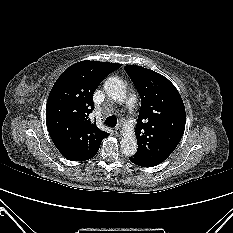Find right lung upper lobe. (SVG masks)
I'll return each instance as SVG.
<instances>
[{
	"mask_svg": "<svg viewBox=\"0 0 233 233\" xmlns=\"http://www.w3.org/2000/svg\"><path fill=\"white\" fill-rule=\"evenodd\" d=\"M121 64L81 61L67 68L55 82L46 105V124L60 153L71 161H85L98 152L109 134L88 118L93 93Z\"/></svg>",
	"mask_w": 233,
	"mask_h": 233,
	"instance_id": "1",
	"label": "right lung upper lobe"
}]
</instances>
